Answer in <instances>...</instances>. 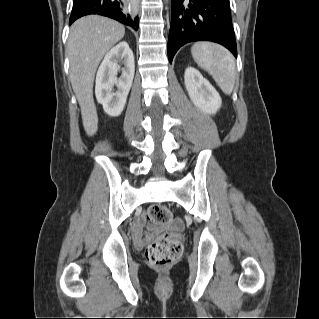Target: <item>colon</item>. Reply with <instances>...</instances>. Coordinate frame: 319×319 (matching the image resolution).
<instances>
[{
  "label": "colon",
  "mask_w": 319,
  "mask_h": 319,
  "mask_svg": "<svg viewBox=\"0 0 319 319\" xmlns=\"http://www.w3.org/2000/svg\"><path fill=\"white\" fill-rule=\"evenodd\" d=\"M150 220L167 224L172 220V212L164 205H153L147 212ZM183 253V237L179 234L167 233L158 237L144 252L147 263L152 267L173 265Z\"/></svg>",
  "instance_id": "5ec220e1"
}]
</instances>
